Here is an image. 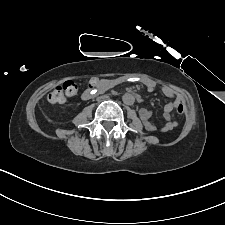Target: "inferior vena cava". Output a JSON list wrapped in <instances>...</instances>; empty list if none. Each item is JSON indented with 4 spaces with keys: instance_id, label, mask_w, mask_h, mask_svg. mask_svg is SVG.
I'll use <instances>...</instances> for the list:
<instances>
[{
    "instance_id": "602c4592",
    "label": "inferior vena cava",
    "mask_w": 225,
    "mask_h": 225,
    "mask_svg": "<svg viewBox=\"0 0 225 225\" xmlns=\"http://www.w3.org/2000/svg\"><path fill=\"white\" fill-rule=\"evenodd\" d=\"M101 98H102V99H103V98H107V96H102Z\"/></svg>"
}]
</instances>
